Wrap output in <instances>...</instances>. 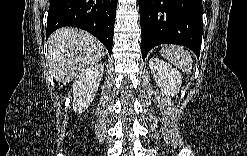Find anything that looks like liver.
Listing matches in <instances>:
<instances>
[{
	"instance_id": "6515ba94",
	"label": "liver",
	"mask_w": 247,
	"mask_h": 156,
	"mask_svg": "<svg viewBox=\"0 0 247 156\" xmlns=\"http://www.w3.org/2000/svg\"><path fill=\"white\" fill-rule=\"evenodd\" d=\"M104 56V46L90 33L74 27L56 30L48 39V66L63 85L78 73L97 64Z\"/></svg>"
}]
</instances>
